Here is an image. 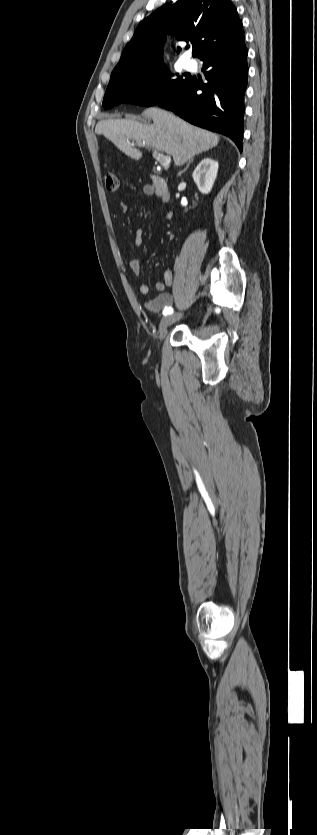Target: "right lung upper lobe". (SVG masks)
Instances as JSON below:
<instances>
[{
  "label": "right lung upper lobe",
  "mask_w": 317,
  "mask_h": 835,
  "mask_svg": "<svg viewBox=\"0 0 317 835\" xmlns=\"http://www.w3.org/2000/svg\"><path fill=\"white\" fill-rule=\"evenodd\" d=\"M194 43L193 56L244 38L242 21L231 0H179L166 4L138 25L114 70H148L163 65L167 33ZM181 48H178V53Z\"/></svg>",
  "instance_id": "1"
}]
</instances>
